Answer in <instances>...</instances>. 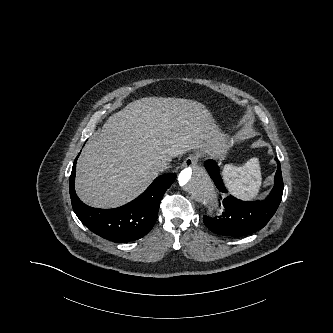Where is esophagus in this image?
<instances>
[{
	"instance_id": "obj_1",
	"label": "esophagus",
	"mask_w": 333,
	"mask_h": 333,
	"mask_svg": "<svg viewBox=\"0 0 333 333\" xmlns=\"http://www.w3.org/2000/svg\"><path fill=\"white\" fill-rule=\"evenodd\" d=\"M198 160H199V156L198 155H190L189 157H187L184 162H183V166L184 167H191V166H194L198 163Z\"/></svg>"
}]
</instances>
